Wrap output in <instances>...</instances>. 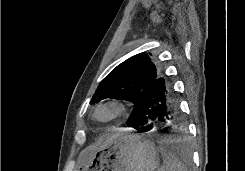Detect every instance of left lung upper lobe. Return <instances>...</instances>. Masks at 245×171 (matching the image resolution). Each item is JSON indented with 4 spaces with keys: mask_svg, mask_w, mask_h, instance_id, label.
<instances>
[{
    "mask_svg": "<svg viewBox=\"0 0 245 171\" xmlns=\"http://www.w3.org/2000/svg\"><path fill=\"white\" fill-rule=\"evenodd\" d=\"M160 76L148 54L134 55L119 64L103 79L93 95L90 104L105 98L127 100L134 105L142 91Z\"/></svg>",
    "mask_w": 245,
    "mask_h": 171,
    "instance_id": "5c2ea615",
    "label": "left lung upper lobe"
}]
</instances>
